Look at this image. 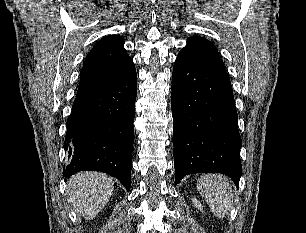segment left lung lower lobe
I'll use <instances>...</instances> for the list:
<instances>
[{"label":"left lung lower lobe","instance_id":"0a47b994","mask_svg":"<svg viewBox=\"0 0 306 233\" xmlns=\"http://www.w3.org/2000/svg\"><path fill=\"white\" fill-rule=\"evenodd\" d=\"M176 183L186 175L219 172L238 187L241 137L224 65L179 53L172 73Z\"/></svg>","mask_w":306,"mask_h":233}]
</instances>
